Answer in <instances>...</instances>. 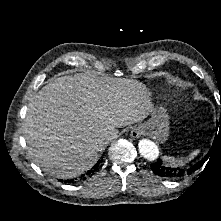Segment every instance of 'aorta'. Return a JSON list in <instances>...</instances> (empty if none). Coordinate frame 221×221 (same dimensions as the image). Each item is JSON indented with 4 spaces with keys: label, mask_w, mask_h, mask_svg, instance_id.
Returning <instances> with one entry per match:
<instances>
[{
    "label": "aorta",
    "mask_w": 221,
    "mask_h": 221,
    "mask_svg": "<svg viewBox=\"0 0 221 221\" xmlns=\"http://www.w3.org/2000/svg\"><path fill=\"white\" fill-rule=\"evenodd\" d=\"M140 154L147 160H156L159 156V149L157 145L148 139H142L138 143Z\"/></svg>",
    "instance_id": "obj_1"
}]
</instances>
